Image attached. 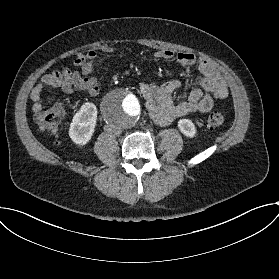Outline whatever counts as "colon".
Wrapping results in <instances>:
<instances>
[{"mask_svg":"<svg viewBox=\"0 0 279 279\" xmlns=\"http://www.w3.org/2000/svg\"><path fill=\"white\" fill-rule=\"evenodd\" d=\"M226 109V107H221L219 110L209 114L206 117L205 128L208 130H214L218 128L223 122ZM62 116L63 110L51 106L45 110L37 112L35 114V121L38 128L42 132L56 135L58 132V125Z\"/></svg>","mask_w":279,"mask_h":279,"instance_id":"5ec220e1","label":"colon"}]
</instances>
